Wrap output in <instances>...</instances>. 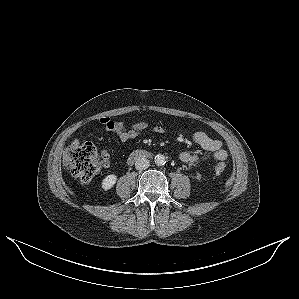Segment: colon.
Instances as JSON below:
<instances>
[{
  "label": "colon",
  "mask_w": 299,
  "mask_h": 299,
  "mask_svg": "<svg viewBox=\"0 0 299 299\" xmlns=\"http://www.w3.org/2000/svg\"><path fill=\"white\" fill-rule=\"evenodd\" d=\"M63 161L74 177L86 183L107 164L108 158L98 150L94 143L84 141L72 143L65 151ZM225 168L226 164L220 162L216 165L215 171L220 174Z\"/></svg>",
  "instance_id": "obj_1"
}]
</instances>
